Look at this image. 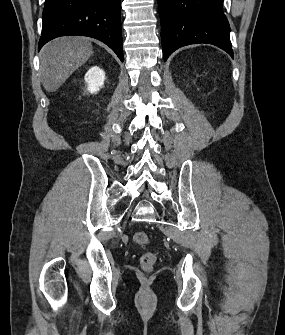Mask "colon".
<instances>
[{"mask_svg":"<svg viewBox=\"0 0 285 335\" xmlns=\"http://www.w3.org/2000/svg\"><path fill=\"white\" fill-rule=\"evenodd\" d=\"M134 241L138 246H146L149 243V237L145 232H138L134 235ZM157 262V256L154 253L148 252L142 255L140 259L141 267L149 271Z\"/></svg>","mask_w":285,"mask_h":335,"instance_id":"colon-1","label":"colon"}]
</instances>
